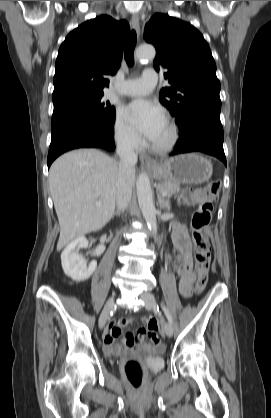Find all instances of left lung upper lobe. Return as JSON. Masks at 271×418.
<instances>
[{"label":"left lung upper lobe","instance_id":"5c2ea615","mask_svg":"<svg viewBox=\"0 0 271 418\" xmlns=\"http://www.w3.org/2000/svg\"><path fill=\"white\" fill-rule=\"evenodd\" d=\"M145 41L156 48L154 66L166 68L171 87L161 90L160 102L176 123L199 113L220 114V82L210 48L190 23L157 13L146 24Z\"/></svg>","mask_w":271,"mask_h":418}]
</instances>
